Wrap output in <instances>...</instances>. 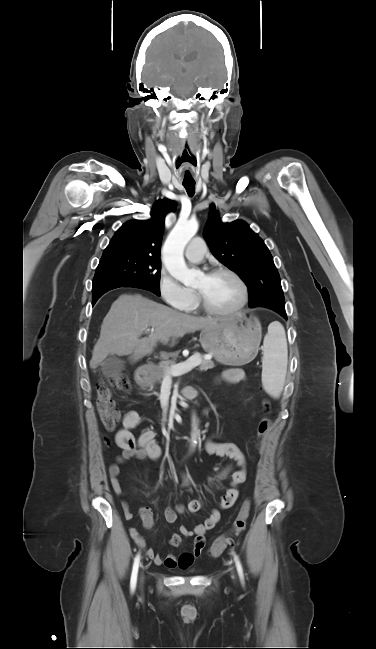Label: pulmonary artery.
Instances as JSON below:
<instances>
[{
	"label": "pulmonary artery",
	"mask_w": 376,
	"mask_h": 649,
	"mask_svg": "<svg viewBox=\"0 0 376 649\" xmlns=\"http://www.w3.org/2000/svg\"><path fill=\"white\" fill-rule=\"evenodd\" d=\"M206 251V245L202 238H193L186 247L185 255L187 259L198 262L203 259Z\"/></svg>",
	"instance_id": "e3ab8cb5"
}]
</instances>
